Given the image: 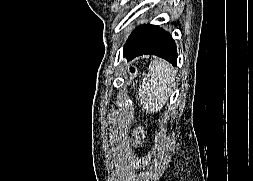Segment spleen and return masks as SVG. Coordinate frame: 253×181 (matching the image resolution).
I'll return each instance as SVG.
<instances>
[{"label": "spleen", "mask_w": 253, "mask_h": 181, "mask_svg": "<svg viewBox=\"0 0 253 181\" xmlns=\"http://www.w3.org/2000/svg\"><path fill=\"white\" fill-rule=\"evenodd\" d=\"M172 82L173 74L170 65L162 59H154L139 90L140 102L145 110L154 113L165 105Z\"/></svg>", "instance_id": "1"}]
</instances>
